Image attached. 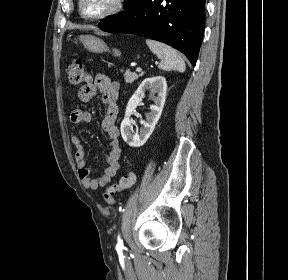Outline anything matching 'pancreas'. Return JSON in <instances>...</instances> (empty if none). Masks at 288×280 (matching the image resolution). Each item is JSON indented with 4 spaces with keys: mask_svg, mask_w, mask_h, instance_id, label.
Returning a JSON list of instances; mask_svg holds the SVG:
<instances>
[{
    "mask_svg": "<svg viewBox=\"0 0 288 280\" xmlns=\"http://www.w3.org/2000/svg\"><path fill=\"white\" fill-rule=\"evenodd\" d=\"M143 73H134L130 70H126L124 73V79L126 83H133L135 80H137L139 77H141Z\"/></svg>",
    "mask_w": 288,
    "mask_h": 280,
    "instance_id": "pancreas-1",
    "label": "pancreas"
}]
</instances>
